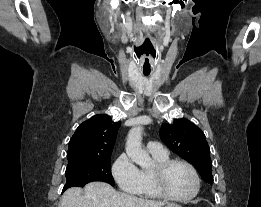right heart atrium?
I'll return each instance as SVG.
<instances>
[{
  "label": "right heart atrium",
  "mask_w": 261,
  "mask_h": 207,
  "mask_svg": "<svg viewBox=\"0 0 261 207\" xmlns=\"http://www.w3.org/2000/svg\"><path fill=\"white\" fill-rule=\"evenodd\" d=\"M112 176L119 188L128 194H139L142 188L141 170L126 155L121 154L112 165Z\"/></svg>",
  "instance_id": "right-heart-atrium-1"
}]
</instances>
